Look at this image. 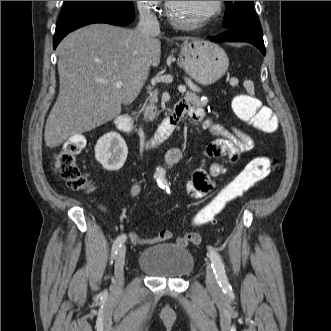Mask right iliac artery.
Segmentation results:
<instances>
[{"instance_id":"82829eb1","label":"right iliac artery","mask_w":331,"mask_h":331,"mask_svg":"<svg viewBox=\"0 0 331 331\" xmlns=\"http://www.w3.org/2000/svg\"><path fill=\"white\" fill-rule=\"evenodd\" d=\"M126 239H127V236L125 234H122L116 238V240L114 241L113 246H112V258H114L117 255L119 249L121 248L123 243L126 241Z\"/></svg>"}]
</instances>
